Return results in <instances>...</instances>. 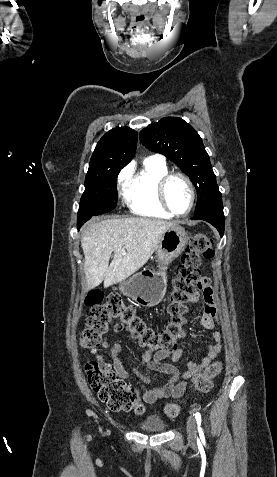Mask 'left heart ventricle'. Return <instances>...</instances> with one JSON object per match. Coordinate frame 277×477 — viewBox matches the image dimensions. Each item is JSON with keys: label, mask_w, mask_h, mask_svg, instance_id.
I'll use <instances>...</instances> for the list:
<instances>
[{"label": "left heart ventricle", "mask_w": 277, "mask_h": 477, "mask_svg": "<svg viewBox=\"0 0 277 477\" xmlns=\"http://www.w3.org/2000/svg\"><path fill=\"white\" fill-rule=\"evenodd\" d=\"M167 199L175 212L186 211L190 204V191L187 183L181 178H173L167 186Z\"/></svg>", "instance_id": "b2bd125f"}]
</instances>
